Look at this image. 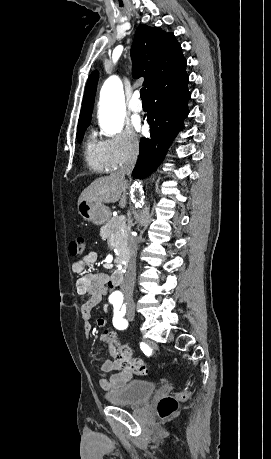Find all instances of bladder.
I'll use <instances>...</instances> for the list:
<instances>
[{"label":"bladder","instance_id":"obj_1","mask_svg":"<svg viewBox=\"0 0 271 459\" xmlns=\"http://www.w3.org/2000/svg\"><path fill=\"white\" fill-rule=\"evenodd\" d=\"M156 391V383L154 381H131L118 392L106 393L112 405H141L145 401H149L150 396Z\"/></svg>","mask_w":271,"mask_h":459}]
</instances>
